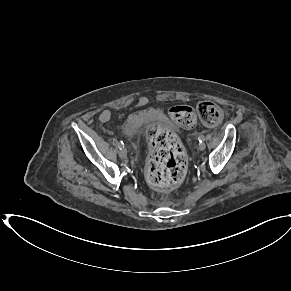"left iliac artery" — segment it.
Returning a JSON list of instances; mask_svg holds the SVG:
<instances>
[{
	"instance_id": "1",
	"label": "left iliac artery",
	"mask_w": 291,
	"mask_h": 291,
	"mask_svg": "<svg viewBox=\"0 0 291 291\" xmlns=\"http://www.w3.org/2000/svg\"><path fill=\"white\" fill-rule=\"evenodd\" d=\"M205 140V137L203 136V135H201L200 137H199V141L200 142H203Z\"/></svg>"
}]
</instances>
